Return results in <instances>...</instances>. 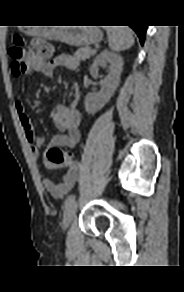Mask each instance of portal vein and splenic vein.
<instances>
[{
  "label": "portal vein and splenic vein",
  "instance_id": "obj_1",
  "mask_svg": "<svg viewBox=\"0 0 184 292\" xmlns=\"http://www.w3.org/2000/svg\"><path fill=\"white\" fill-rule=\"evenodd\" d=\"M96 52V50H92L91 53L94 54Z\"/></svg>",
  "mask_w": 184,
  "mask_h": 292
}]
</instances>
